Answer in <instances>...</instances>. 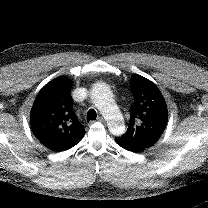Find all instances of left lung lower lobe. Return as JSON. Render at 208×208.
I'll list each match as a JSON object with an SVG mask.
<instances>
[{
    "label": "left lung lower lobe",
    "mask_w": 208,
    "mask_h": 208,
    "mask_svg": "<svg viewBox=\"0 0 208 208\" xmlns=\"http://www.w3.org/2000/svg\"><path fill=\"white\" fill-rule=\"evenodd\" d=\"M115 142L121 146L122 148L128 150V151H132V152H141L143 150H145V148L135 145L133 143H130L128 141L122 140L119 137H115Z\"/></svg>",
    "instance_id": "obj_1"
}]
</instances>
